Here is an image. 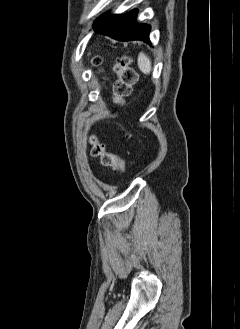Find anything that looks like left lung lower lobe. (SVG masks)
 Instances as JSON below:
<instances>
[{
	"instance_id": "left-lung-lower-lobe-1",
	"label": "left lung lower lobe",
	"mask_w": 240,
	"mask_h": 329,
	"mask_svg": "<svg viewBox=\"0 0 240 329\" xmlns=\"http://www.w3.org/2000/svg\"><path fill=\"white\" fill-rule=\"evenodd\" d=\"M136 16L137 10H132L126 14L106 16L96 24L95 30L116 40H140L150 43V26L137 24Z\"/></svg>"
}]
</instances>
